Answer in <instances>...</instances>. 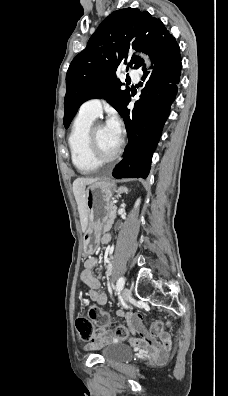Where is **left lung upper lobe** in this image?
Wrapping results in <instances>:
<instances>
[{"mask_svg":"<svg viewBox=\"0 0 228 396\" xmlns=\"http://www.w3.org/2000/svg\"><path fill=\"white\" fill-rule=\"evenodd\" d=\"M166 32L161 20L147 11L126 8L111 13L91 36L86 48L73 59L67 71L65 128L81 104L92 98H104L121 115L130 91L120 89L122 83L115 73L118 65L122 61L127 63L126 51L130 46L146 53L150 43ZM143 63L140 57L132 56L128 67L138 69Z\"/></svg>","mask_w":228,"mask_h":396,"instance_id":"left-lung-upper-lobe-1","label":"left lung upper lobe"}]
</instances>
